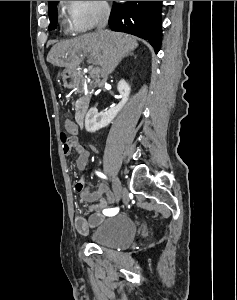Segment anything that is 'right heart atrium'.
I'll return each mask as SVG.
<instances>
[{"label":"right heart atrium","instance_id":"1","mask_svg":"<svg viewBox=\"0 0 237 300\" xmlns=\"http://www.w3.org/2000/svg\"><path fill=\"white\" fill-rule=\"evenodd\" d=\"M68 29L82 34L105 24L111 15L107 1H62Z\"/></svg>","mask_w":237,"mask_h":300}]
</instances>
